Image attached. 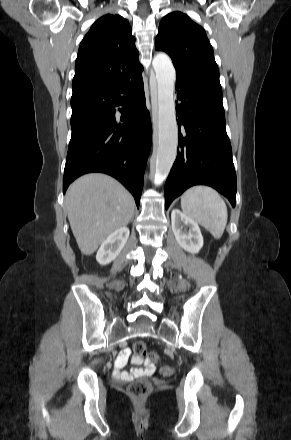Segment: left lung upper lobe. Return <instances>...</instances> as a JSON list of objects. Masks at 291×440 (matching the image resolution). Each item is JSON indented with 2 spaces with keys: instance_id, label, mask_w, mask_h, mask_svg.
<instances>
[{
  "instance_id": "1",
  "label": "left lung upper lobe",
  "mask_w": 291,
  "mask_h": 440,
  "mask_svg": "<svg viewBox=\"0 0 291 440\" xmlns=\"http://www.w3.org/2000/svg\"><path fill=\"white\" fill-rule=\"evenodd\" d=\"M155 49L169 54L176 78L222 92L212 46L204 29L186 14L172 12L162 19Z\"/></svg>"
}]
</instances>
